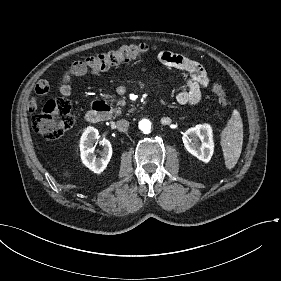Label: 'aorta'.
I'll use <instances>...</instances> for the list:
<instances>
[{
    "label": "aorta",
    "mask_w": 281,
    "mask_h": 281,
    "mask_svg": "<svg viewBox=\"0 0 281 281\" xmlns=\"http://www.w3.org/2000/svg\"><path fill=\"white\" fill-rule=\"evenodd\" d=\"M139 127L144 133H150L151 122L149 120L144 119L139 123Z\"/></svg>",
    "instance_id": "762f6f07"
}]
</instances>
